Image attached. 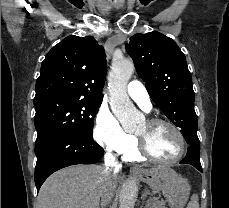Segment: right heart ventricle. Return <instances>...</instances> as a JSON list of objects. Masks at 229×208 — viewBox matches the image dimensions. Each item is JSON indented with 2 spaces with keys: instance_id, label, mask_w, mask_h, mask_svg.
Wrapping results in <instances>:
<instances>
[{
  "instance_id": "obj_1",
  "label": "right heart ventricle",
  "mask_w": 229,
  "mask_h": 208,
  "mask_svg": "<svg viewBox=\"0 0 229 208\" xmlns=\"http://www.w3.org/2000/svg\"><path fill=\"white\" fill-rule=\"evenodd\" d=\"M138 156H139V153L136 150L134 152H132V153L126 154V157L129 158V159L136 158Z\"/></svg>"
}]
</instances>
